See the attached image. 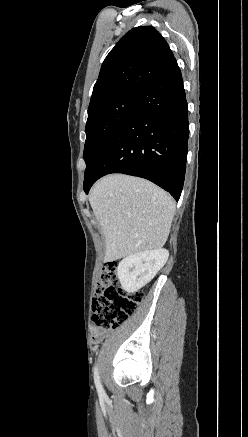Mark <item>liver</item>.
I'll list each match as a JSON object with an SVG mask.
<instances>
[{"label": "liver", "instance_id": "1", "mask_svg": "<svg viewBox=\"0 0 248 437\" xmlns=\"http://www.w3.org/2000/svg\"><path fill=\"white\" fill-rule=\"evenodd\" d=\"M89 202L105 237V261L156 250L166 243L176 203L155 184L109 175L93 185Z\"/></svg>", "mask_w": 248, "mask_h": 437}]
</instances>
